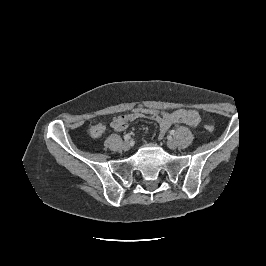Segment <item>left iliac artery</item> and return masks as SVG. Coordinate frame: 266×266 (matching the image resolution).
I'll use <instances>...</instances> for the list:
<instances>
[{
	"label": "left iliac artery",
	"mask_w": 266,
	"mask_h": 266,
	"mask_svg": "<svg viewBox=\"0 0 266 266\" xmlns=\"http://www.w3.org/2000/svg\"><path fill=\"white\" fill-rule=\"evenodd\" d=\"M170 134H171V135H174V134H175V130H171V131H170Z\"/></svg>",
	"instance_id": "1"
}]
</instances>
